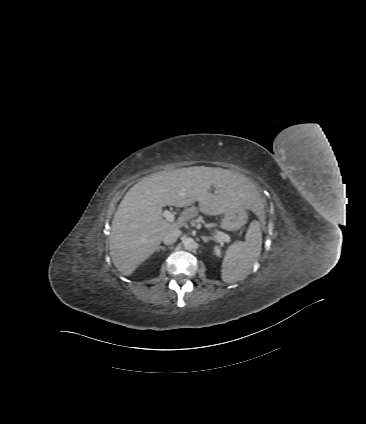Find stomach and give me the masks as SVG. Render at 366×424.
<instances>
[{"label":"stomach","instance_id":"obj_1","mask_svg":"<svg viewBox=\"0 0 366 424\" xmlns=\"http://www.w3.org/2000/svg\"><path fill=\"white\" fill-rule=\"evenodd\" d=\"M246 219V209H233L224 214L221 227L227 231H236L241 228Z\"/></svg>","mask_w":366,"mask_h":424}]
</instances>
